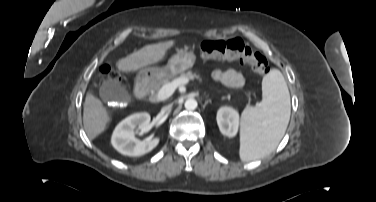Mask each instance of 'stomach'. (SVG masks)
<instances>
[{"instance_id": "1", "label": "stomach", "mask_w": 376, "mask_h": 202, "mask_svg": "<svg viewBox=\"0 0 376 202\" xmlns=\"http://www.w3.org/2000/svg\"><path fill=\"white\" fill-rule=\"evenodd\" d=\"M195 60L196 56L193 51L181 50L169 59L165 67H146L140 70L138 76L150 82L157 81L163 77L173 78L191 68Z\"/></svg>"}]
</instances>
